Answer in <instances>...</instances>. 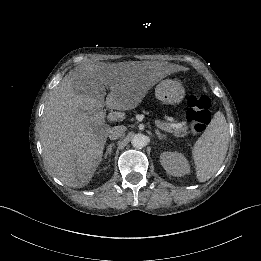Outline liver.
Segmentation results:
<instances>
[{
  "instance_id": "6515ba94",
  "label": "liver",
  "mask_w": 261,
  "mask_h": 261,
  "mask_svg": "<svg viewBox=\"0 0 261 261\" xmlns=\"http://www.w3.org/2000/svg\"><path fill=\"white\" fill-rule=\"evenodd\" d=\"M157 65H80L64 76L46 101L39 129L44 162L55 177L74 188L89 183L111 129L104 123V106L136 108L167 73ZM107 119L123 120L125 113L112 112Z\"/></svg>"
}]
</instances>
